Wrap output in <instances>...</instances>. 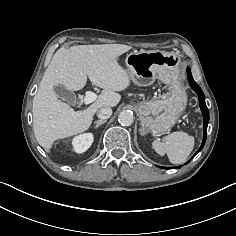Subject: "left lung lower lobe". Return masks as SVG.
I'll use <instances>...</instances> for the list:
<instances>
[{"label": "left lung lower lobe", "mask_w": 236, "mask_h": 236, "mask_svg": "<svg viewBox=\"0 0 236 236\" xmlns=\"http://www.w3.org/2000/svg\"><path fill=\"white\" fill-rule=\"evenodd\" d=\"M187 72H188V80H189L190 86L198 94L200 108H201V111H202V114H203V118H204V121H203V130H204L203 141H202V144H201L199 150L194 154V156H195L200 150H202V148L204 147L205 141H206L207 125H208V122H209V111H208V108H207L206 103H205L204 93L201 90V88L199 87V85L194 81V79L192 77V74H191V71H190V68H187ZM194 156H192V158ZM190 160L188 162H190Z\"/></svg>", "instance_id": "obj_1"}]
</instances>
